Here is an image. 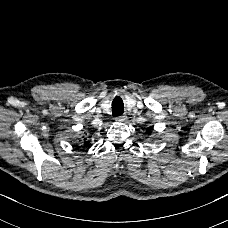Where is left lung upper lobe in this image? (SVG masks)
Wrapping results in <instances>:
<instances>
[{"label": "left lung upper lobe", "instance_id": "obj_1", "mask_svg": "<svg viewBox=\"0 0 228 228\" xmlns=\"http://www.w3.org/2000/svg\"><path fill=\"white\" fill-rule=\"evenodd\" d=\"M151 130H152V127H148V128H147V133L150 134V133H151Z\"/></svg>", "mask_w": 228, "mask_h": 228}]
</instances>
